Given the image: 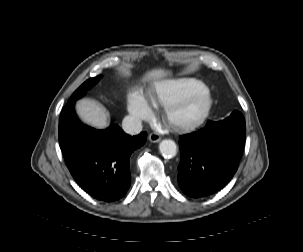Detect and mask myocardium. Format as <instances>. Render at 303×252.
Instances as JSON below:
<instances>
[{
  "label": "myocardium",
  "instance_id": "myocardium-1",
  "mask_svg": "<svg viewBox=\"0 0 303 252\" xmlns=\"http://www.w3.org/2000/svg\"><path fill=\"white\" fill-rule=\"evenodd\" d=\"M212 106V96L208 89L199 88L184 100L170 104L165 109L166 120L174 128L191 129L201 124Z\"/></svg>",
  "mask_w": 303,
  "mask_h": 252
}]
</instances>
